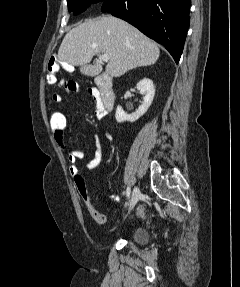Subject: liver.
<instances>
[{"label":"liver","instance_id":"liver-1","mask_svg":"<svg viewBox=\"0 0 240 287\" xmlns=\"http://www.w3.org/2000/svg\"><path fill=\"white\" fill-rule=\"evenodd\" d=\"M106 53V74L120 77L127 71L149 66L158 60L160 50L155 42L129 23L106 15L87 20L71 29L58 50L62 64L87 65L94 55Z\"/></svg>","mask_w":240,"mask_h":287}]
</instances>
